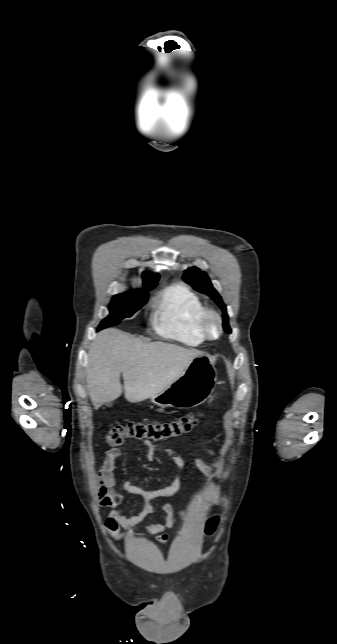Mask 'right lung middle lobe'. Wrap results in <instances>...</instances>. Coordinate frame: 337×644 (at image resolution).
Masks as SVG:
<instances>
[{
	"mask_svg": "<svg viewBox=\"0 0 337 644\" xmlns=\"http://www.w3.org/2000/svg\"><path fill=\"white\" fill-rule=\"evenodd\" d=\"M153 287L115 295L109 305L110 315L101 321L98 330L117 325L122 319L131 317L146 303L147 292Z\"/></svg>",
	"mask_w": 337,
	"mask_h": 644,
	"instance_id": "obj_1",
	"label": "right lung middle lobe"
}]
</instances>
